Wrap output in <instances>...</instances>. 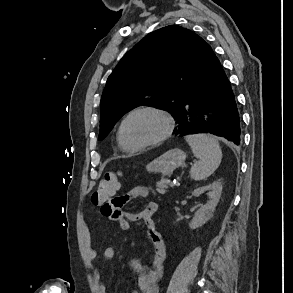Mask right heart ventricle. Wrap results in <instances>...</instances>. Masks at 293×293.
<instances>
[{
	"instance_id": "right-heart-ventricle-1",
	"label": "right heart ventricle",
	"mask_w": 293,
	"mask_h": 293,
	"mask_svg": "<svg viewBox=\"0 0 293 293\" xmlns=\"http://www.w3.org/2000/svg\"><path fill=\"white\" fill-rule=\"evenodd\" d=\"M117 143H118L119 147H120L123 151H126V152H133V151L127 149V148L123 145V143H122V141H121V139H120L119 130H118V132H117Z\"/></svg>"
}]
</instances>
